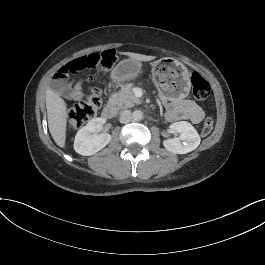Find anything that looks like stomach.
Wrapping results in <instances>:
<instances>
[{
  "label": "stomach",
  "instance_id": "1",
  "mask_svg": "<svg viewBox=\"0 0 265 265\" xmlns=\"http://www.w3.org/2000/svg\"><path fill=\"white\" fill-rule=\"evenodd\" d=\"M140 69L139 61L125 59L113 69L112 78L116 81L130 80L140 72ZM152 77L161 95L169 100H180L189 94L190 73L183 63L174 58L165 57L155 61Z\"/></svg>",
  "mask_w": 265,
  "mask_h": 265
}]
</instances>
